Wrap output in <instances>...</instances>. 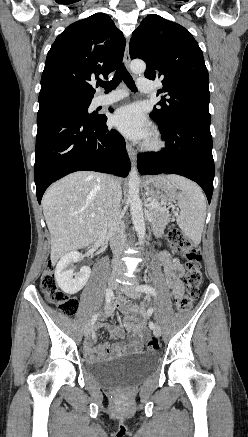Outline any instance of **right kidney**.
<instances>
[{"mask_svg":"<svg viewBox=\"0 0 248 437\" xmlns=\"http://www.w3.org/2000/svg\"><path fill=\"white\" fill-rule=\"evenodd\" d=\"M78 251H71L64 255L58 262L55 269V279L58 286L67 294L78 293L87 283L91 269L83 266L79 272H74L73 264L81 259Z\"/></svg>","mask_w":248,"mask_h":437,"instance_id":"obj_1","label":"right kidney"}]
</instances>
